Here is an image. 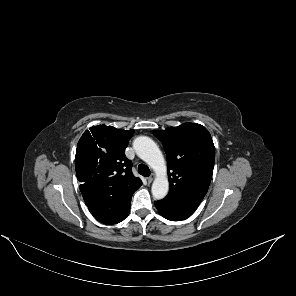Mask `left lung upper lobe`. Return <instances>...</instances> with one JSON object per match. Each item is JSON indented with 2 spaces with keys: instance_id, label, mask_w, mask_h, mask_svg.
Listing matches in <instances>:
<instances>
[{
  "instance_id": "left-lung-upper-lobe-1",
  "label": "left lung upper lobe",
  "mask_w": 296,
  "mask_h": 296,
  "mask_svg": "<svg viewBox=\"0 0 296 296\" xmlns=\"http://www.w3.org/2000/svg\"><path fill=\"white\" fill-rule=\"evenodd\" d=\"M167 154L169 193L163 201L198 206L213 174L215 147L208 130L185 123L166 130H154Z\"/></svg>"
}]
</instances>
